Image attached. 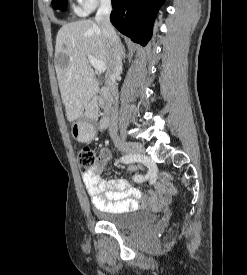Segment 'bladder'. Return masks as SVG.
<instances>
[{"instance_id": "1", "label": "bladder", "mask_w": 247, "mask_h": 275, "mask_svg": "<svg viewBox=\"0 0 247 275\" xmlns=\"http://www.w3.org/2000/svg\"><path fill=\"white\" fill-rule=\"evenodd\" d=\"M100 221L111 224L117 228H131L142 225H152L156 222L155 213L142 209L109 212L99 208L92 209Z\"/></svg>"}]
</instances>
